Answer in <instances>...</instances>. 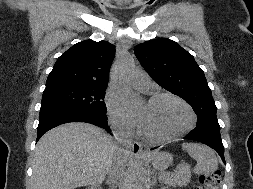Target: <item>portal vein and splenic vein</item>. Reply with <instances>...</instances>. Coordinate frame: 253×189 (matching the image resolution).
<instances>
[{
	"instance_id": "1",
	"label": "portal vein and splenic vein",
	"mask_w": 253,
	"mask_h": 189,
	"mask_svg": "<svg viewBox=\"0 0 253 189\" xmlns=\"http://www.w3.org/2000/svg\"><path fill=\"white\" fill-rule=\"evenodd\" d=\"M185 167H186V165H185L184 163H183V164H180L174 172L181 171V170L184 169Z\"/></svg>"
}]
</instances>
